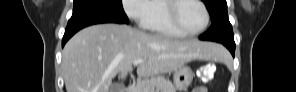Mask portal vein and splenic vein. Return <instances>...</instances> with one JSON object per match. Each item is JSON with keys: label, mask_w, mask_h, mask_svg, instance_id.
<instances>
[{"label": "portal vein and splenic vein", "mask_w": 296, "mask_h": 92, "mask_svg": "<svg viewBox=\"0 0 296 92\" xmlns=\"http://www.w3.org/2000/svg\"><path fill=\"white\" fill-rule=\"evenodd\" d=\"M143 62H144L143 59H136V60L133 61V65H138V64H141Z\"/></svg>", "instance_id": "18ae733b"}]
</instances>
